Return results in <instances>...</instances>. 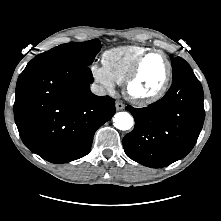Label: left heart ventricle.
<instances>
[{
	"label": "left heart ventricle",
	"instance_id": "b2bd125f",
	"mask_svg": "<svg viewBox=\"0 0 221 221\" xmlns=\"http://www.w3.org/2000/svg\"><path fill=\"white\" fill-rule=\"evenodd\" d=\"M166 72L165 58L159 53L151 54L141 66L140 73L132 87L133 92L139 95L156 92L162 85Z\"/></svg>",
	"mask_w": 221,
	"mask_h": 221
}]
</instances>
